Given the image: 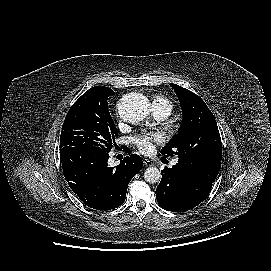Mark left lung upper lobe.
<instances>
[{"mask_svg":"<svg viewBox=\"0 0 271 271\" xmlns=\"http://www.w3.org/2000/svg\"><path fill=\"white\" fill-rule=\"evenodd\" d=\"M181 105L183 122L162 154L178 155V165L214 182L222 158V143L216 120L205 102L193 92L171 84Z\"/></svg>","mask_w":271,"mask_h":271,"instance_id":"5c2ea615","label":"left lung upper lobe"}]
</instances>
